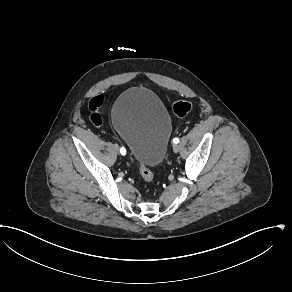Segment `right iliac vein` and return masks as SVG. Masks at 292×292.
I'll return each instance as SVG.
<instances>
[{"instance_id":"obj_1","label":"right iliac vein","mask_w":292,"mask_h":292,"mask_svg":"<svg viewBox=\"0 0 292 292\" xmlns=\"http://www.w3.org/2000/svg\"><path fill=\"white\" fill-rule=\"evenodd\" d=\"M113 147H114V150H115L116 152H119V147H118V145L115 144Z\"/></svg>"}]
</instances>
